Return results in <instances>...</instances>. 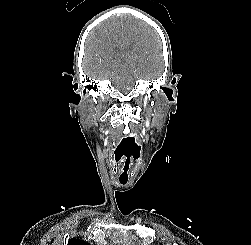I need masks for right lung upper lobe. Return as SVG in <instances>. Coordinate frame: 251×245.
<instances>
[{"label": "right lung upper lobe", "mask_w": 251, "mask_h": 245, "mask_svg": "<svg viewBox=\"0 0 251 245\" xmlns=\"http://www.w3.org/2000/svg\"><path fill=\"white\" fill-rule=\"evenodd\" d=\"M68 245H88V243L84 242L83 240L71 238L68 242Z\"/></svg>", "instance_id": "obj_1"}]
</instances>
